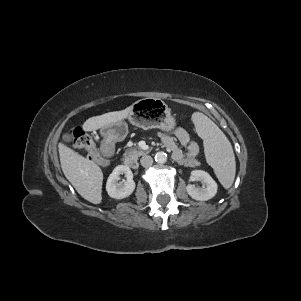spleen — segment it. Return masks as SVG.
I'll return each instance as SVG.
<instances>
[{"label":"spleen","mask_w":301,"mask_h":301,"mask_svg":"<svg viewBox=\"0 0 301 301\" xmlns=\"http://www.w3.org/2000/svg\"><path fill=\"white\" fill-rule=\"evenodd\" d=\"M192 121L205 143L208 164L214 169L217 178L225 189L232 186L236 162L232 145L219 127L206 115L195 112Z\"/></svg>","instance_id":"3e777b00"}]
</instances>
